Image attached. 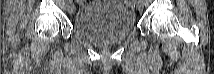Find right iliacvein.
<instances>
[{
    "label": "right iliac vein",
    "mask_w": 214,
    "mask_h": 74,
    "mask_svg": "<svg viewBox=\"0 0 214 74\" xmlns=\"http://www.w3.org/2000/svg\"><path fill=\"white\" fill-rule=\"evenodd\" d=\"M68 11H69L70 14H73V13H74V11H75V6H74V4H70V5L68 6Z\"/></svg>",
    "instance_id": "obj_1"
}]
</instances>
